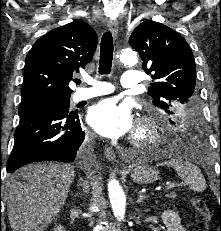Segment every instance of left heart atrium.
Instances as JSON below:
<instances>
[{"mask_svg":"<svg viewBox=\"0 0 221 231\" xmlns=\"http://www.w3.org/2000/svg\"><path fill=\"white\" fill-rule=\"evenodd\" d=\"M87 119L97 133L109 138L123 136L133 129L130 107L117 104L112 99H105L93 105Z\"/></svg>","mask_w":221,"mask_h":231,"instance_id":"1","label":"left heart atrium"}]
</instances>
